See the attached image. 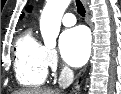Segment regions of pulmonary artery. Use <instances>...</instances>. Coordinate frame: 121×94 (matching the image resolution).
I'll return each mask as SVG.
<instances>
[{
	"instance_id": "obj_1",
	"label": "pulmonary artery",
	"mask_w": 121,
	"mask_h": 94,
	"mask_svg": "<svg viewBox=\"0 0 121 94\" xmlns=\"http://www.w3.org/2000/svg\"><path fill=\"white\" fill-rule=\"evenodd\" d=\"M62 23L65 26H72L76 23V17L74 14L72 13H66L63 15L62 17Z\"/></svg>"
}]
</instances>
